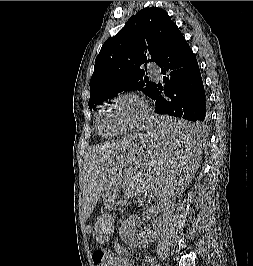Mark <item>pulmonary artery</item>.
<instances>
[{"instance_id":"pulmonary-artery-1","label":"pulmonary artery","mask_w":253,"mask_h":266,"mask_svg":"<svg viewBox=\"0 0 253 266\" xmlns=\"http://www.w3.org/2000/svg\"><path fill=\"white\" fill-rule=\"evenodd\" d=\"M149 72L152 78L159 79L161 76V70L158 66H151Z\"/></svg>"}]
</instances>
